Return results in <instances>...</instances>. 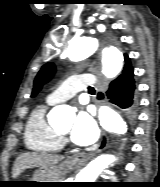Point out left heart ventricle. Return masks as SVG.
Wrapping results in <instances>:
<instances>
[{
	"instance_id": "b2bd125f",
	"label": "left heart ventricle",
	"mask_w": 160,
	"mask_h": 187,
	"mask_svg": "<svg viewBox=\"0 0 160 187\" xmlns=\"http://www.w3.org/2000/svg\"><path fill=\"white\" fill-rule=\"evenodd\" d=\"M70 129H71V124H69V125H67V126H65V127H63V128H61V129H60V132H61L62 134H64V135H66V134L69 133Z\"/></svg>"
}]
</instances>
